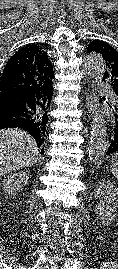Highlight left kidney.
Wrapping results in <instances>:
<instances>
[{"mask_svg": "<svg viewBox=\"0 0 118 269\" xmlns=\"http://www.w3.org/2000/svg\"><path fill=\"white\" fill-rule=\"evenodd\" d=\"M96 188L95 199L98 203L94 212L103 225L109 226L117 216L118 188L106 180H102Z\"/></svg>", "mask_w": 118, "mask_h": 269, "instance_id": "obj_1", "label": "left kidney"}]
</instances>
